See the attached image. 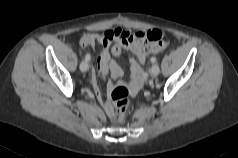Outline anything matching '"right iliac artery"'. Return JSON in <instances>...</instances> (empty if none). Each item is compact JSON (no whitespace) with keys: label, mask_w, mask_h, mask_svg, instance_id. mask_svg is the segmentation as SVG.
<instances>
[{"label":"right iliac artery","mask_w":238,"mask_h":158,"mask_svg":"<svg viewBox=\"0 0 238 158\" xmlns=\"http://www.w3.org/2000/svg\"><path fill=\"white\" fill-rule=\"evenodd\" d=\"M90 58H91L90 54L87 53L86 56H85L86 61H89Z\"/></svg>","instance_id":"82829eb1"}]
</instances>
